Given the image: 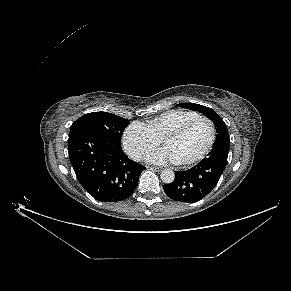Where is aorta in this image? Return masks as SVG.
<instances>
[{"label": "aorta", "instance_id": "obj_1", "mask_svg": "<svg viewBox=\"0 0 291 291\" xmlns=\"http://www.w3.org/2000/svg\"><path fill=\"white\" fill-rule=\"evenodd\" d=\"M161 180L166 183H172L175 179V173L171 169H164L160 174Z\"/></svg>", "mask_w": 291, "mask_h": 291}]
</instances>
